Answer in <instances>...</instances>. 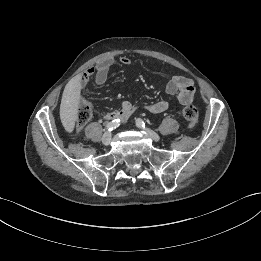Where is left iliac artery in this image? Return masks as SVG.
Listing matches in <instances>:
<instances>
[{
	"instance_id": "obj_1",
	"label": "left iliac artery",
	"mask_w": 261,
	"mask_h": 261,
	"mask_svg": "<svg viewBox=\"0 0 261 261\" xmlns=\"http://www.w3.org/2000/svg\"><path fill=\"white\" fill-rule=\"evenodd\" d=\"M136 125H137L138 127H140V128H143V129L146 127L145 122H144L141 118H138V119L136 120Z\"/></svg>"
}]
</instances>
